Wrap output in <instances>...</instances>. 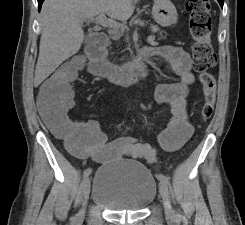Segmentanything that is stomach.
Masks as SVG:
<instances>
[{
	"instance_id": "stomach-1",
	"label": "stomach",
	"mask_w": 245,
	"mask_h": 225,
	"mask_svg": "<svg viewBox=\"0 0 245 225\" xmlns=\"http://www.w3.org/2000/svg\"><path fill=\"white\" fill-rule=\"evenodd\" d=\"M152 16L162 27H168L177 22V10L170 0H154Z\"/></svg>"
}]
</instances>
